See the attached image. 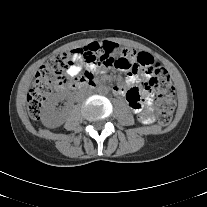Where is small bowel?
<instances>
[{
  "label": "small bowel",
  "mask_w": 207,
  "mask_h": 207,
  "mask_svg": "<svg viewBox=\"0 0 207 207\" xmlns=\"http://www.w3.org/2000/svg\"><path fill=\"white\" fill-rule=\"evenodd\" d=\"M78 57H74L73 63L68 67L67 73L76 77L81 72V66L77 64ZM127 76L123 84L116 85L113 92L116 95L124 96L131 110L137 114L141 121L150 123L154 119L153 100L147 90V82L142 80L139 71L127 70ZM150 72H143V76H149Z\"/></svg>",
  "instance_id": "obj_1"
}]
</instances>
